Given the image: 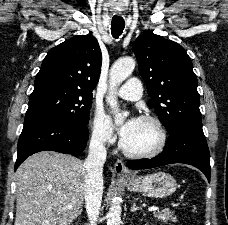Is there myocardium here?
<instances>
[{
	"instance_id": "1",
	"label": "myocardium",
	"mask_w": 228,
	"mask_h": 225,
	"mask_svg": "<svg viewBox=\"0 0 228 225\" xmlns=\"http://www.w3.org/2000/svg\"><path fill=\"white\" fill-rule=\"evenodd\" d=\"M139 120L144 122H149L154 126H156L160 136V141L158 146L153 150L140 151V150H134L129 148L125 143V140H122L120 143L121 150L129 156L137 157V158H153L160 155L165 150L167 141H168L167 130L163 122L160 119L150 115L141 116Z\"/></svg>"
}]
</instances>
